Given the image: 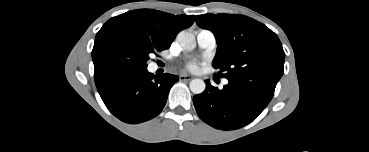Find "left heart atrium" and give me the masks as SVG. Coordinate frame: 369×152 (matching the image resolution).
<instances>
[{
  "label": "left heart atrium",
  "instance_id": "39dd6f15",
  "mask_svg": "<svg viewBox=\"0 0 369 152\" xmlns=\"http://www.w3.org/2000/svg\"><path fill=\"white\" fill-rule=\"evenodd\" d=\"M187 68L190 71H197L198 70V63L195 61H191L187 64Z\"/></svg>",
  "mask_w": 369,
  "mask_h": 152
}]
</instances>
